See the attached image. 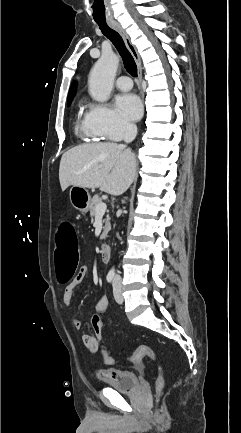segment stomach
I'll list each match as a JSON object with an SVG mask.
<instances>
[{
	"instance_id": "0dacf381",
	"label": "stomach",
	"mask_w": 241,
	"mask_h": 433,
	"mask_svg": "<svg viewBox=\"0 0 241 433\" xmlns=\"http://www.w3.org/2000/svg\"><path fill=\"white\" fill-rule=\"evenodd\" d=\"M70 202L72 206L80 211L81 213H86L89 210L91 196L86 188L73 186L69 193Z\"/></svg>"
}]
</instances>
